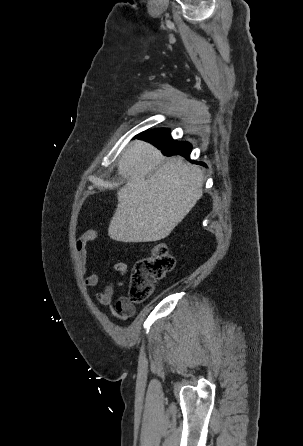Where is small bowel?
<instances>
[{"instance_id": "small-bowel-1", "label": "small bowel", "mask_w": 303, "mask_h": 446, "mask_svg": "<svg viewBox=\"0 0 303 446\" xmlns=\"http://www.w3.org/2000/svg\"><path fill=\"white\" fill-rule=\"evenodd\" d=\"M97 239V232L95 230L84 231L75 241L76 260L79 274L83 283L88 287H94L99 282V275L96 272L87 273V257L88 244ZM114 270L121 276H124L128 271V266L123 262H117L114 265ZM123 286V281L117 283L110 281L106 283L104 288L93 294L96 301L109 308L111 315L120 322L126 321L136 313L135 306L128 302L125 296H119L115 305H113L116 287Z\"/></svg>"}]
</instances>
